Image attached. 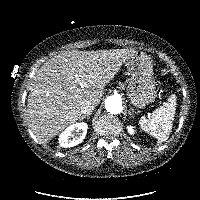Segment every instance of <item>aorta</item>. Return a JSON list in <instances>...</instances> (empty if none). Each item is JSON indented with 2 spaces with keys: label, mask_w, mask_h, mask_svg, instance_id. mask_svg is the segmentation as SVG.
I'll return each instance as SVG.
<instances>
[{
  "label": "aorta",
  "mask_w": 200,
  "mask_h": 200,
  "mask_svg": "<svg viewBox=\"0 0 200 200\" xmlns=\"http://www.w3.org/2000/svg\"><path fill=\"white\" fill-rule=\"evenodd\" d=\"M105 108L111 114H120L123 110L121 98L117 95H111L106 98Z\"/></svg>",
  "instance_id": "762f6f07"
}]
</instances>
